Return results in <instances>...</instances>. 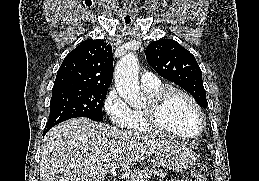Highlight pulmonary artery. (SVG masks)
I'll use <instances>...</instances> for the list:
<instances>
[{
  "mask_svg": "<svg viewBox=\"0 0 259 181\" xmlns=\"http://www.w3.org/2000/svg\"><path fill=\"white\" fill-rule=\"evenodd\" d=\"M159 83V79L150 72H146L141 76L140 85L142 88H150L156 86Z\"/></svg>",
  "mask_w": 259,
  "mask_h": 181,
  "instance_id": "pulmonary-artery-1",
  "label": "pulmonary artery"
}]
</instances>
